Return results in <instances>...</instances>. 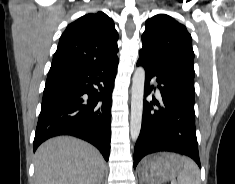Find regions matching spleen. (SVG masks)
Listing matches in <instances>:
<instances>
[{
    "label": "spleen",
    "mask_w": 235,
    "mask_h": 184,
    "mask_svg": "<svg viewBox=\"0 0 235 184\" xmlns=\"http://www.w3.org/2000/svg\"><path fill=\"white\" fill-rule=\"evenodd\" d=\"M184 168L178 176V184H201L199 178V168L191 158L182 156Z\"/></svg>",
    "instance_id": "obj_1"
}]
</instances>
